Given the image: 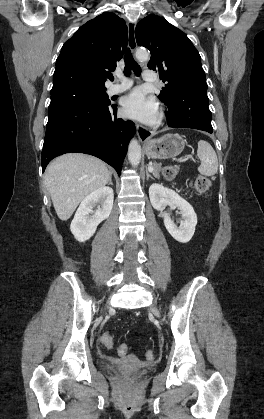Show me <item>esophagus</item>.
<instances>
[{"instance_id":"1","label":"esophagus","mask_w":264,"mask_h":419,"mask_svg":"<svg viewBox=\"0 0 264 419\" xmlns=\"http://www.w3.org/2000/svg\"><path fill=\"white\" fill-rule=\"evenodd\" d=\"M135 28L136 22L131 21L128 23V46L132 52H134L137 48ZM135 126L139 140L141 142L147 141L150 138V133L148 129L139 123H136Z\"/></svg>"}]
</instances>
